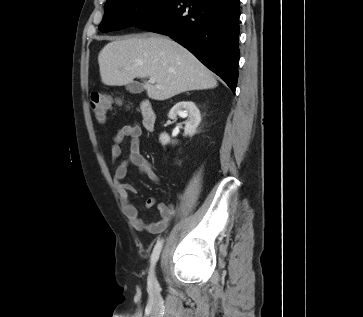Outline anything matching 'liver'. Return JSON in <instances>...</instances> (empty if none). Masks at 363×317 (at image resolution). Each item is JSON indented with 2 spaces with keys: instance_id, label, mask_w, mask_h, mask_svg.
Returning a JSON list of instances; mask_svg holds the SVG:
<instances>
[{
  "instance_id": "liver-1",
  "label": "liver",
  "mask_w": 363,
  "mask_h": 317,
  "mask_svg": "<svg viewBox=\"0 0 363 317\" xmlns=\"http://www.w3.org/2000/svg\"><path fill=\"white\" fill-rule=\"evenodd\" d=\"M101 81L123 86L135 78H155L143 87L149 98L166 100L186 91L211 89L217 81L192 53L161 35L118 38L98 55Z\"/></svg>"
}]
</instances>
